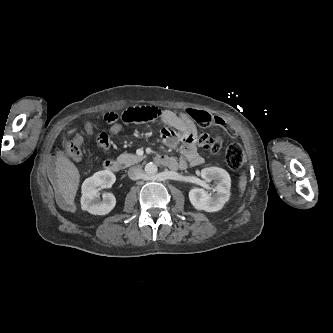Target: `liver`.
<instances>
[{
  "mask_svg": "<svg viewBox=\"0 0 333 333\" xmlns=\"http://www.w3.org/2000/svg\"><path fill=\"white\" fill-rule=\"evenodd\" d=\"M58 191L61 193L66 205H73L79 182L80 174L77 167L66 157L59 156L56 162Z\"/></svg>",
  "mask_w": 333,
  "mask_h": 333,
  "instance_id": "obj_1",
  "label": "liver"
}]
</instances>
